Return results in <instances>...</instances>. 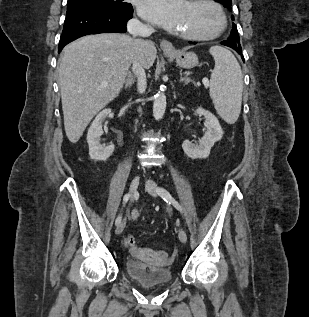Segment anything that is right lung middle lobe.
<instances>
[{
    "instance_id": "dd1d6c3e",
    "label": "right lung middle lobe",
    "mask_w": 309,
    "mask_h": 317,
    "mask_svg": "<svg viewBox=\"0 0 309 317\" xmlns=\"http://www.w3.org/2000/svg\"><path fill=\"white\" fill-rule=\"evenodd\" d=\"M67 6L95 7L121 12L133 11L132 5L122 0H68Z\"/></svg>"
}]
</instances>
